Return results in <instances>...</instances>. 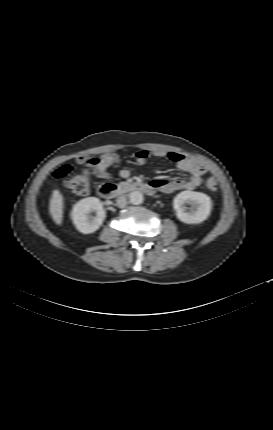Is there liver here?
<instances>
[{
	"label": "liver",
	"mask_w": 273,
	"mask_h": 430,
	"mask_svg": "<svg viewBox=\"0 0 273 430\" xmlns=\"http://www.w3.org/2000/svg\"><path fill=\"white\" fill-rule=\"evenodd\" d=\"M64 201L59 190H54L50 200V214L56 224H62Z\"/></svg>",
	"instance_id": "obj_1"
}]
</instances>
